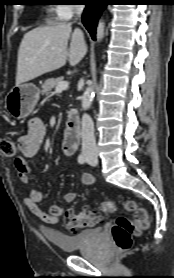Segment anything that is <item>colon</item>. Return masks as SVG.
<instances>
[{"label": "colon", "mask_w": 174, "mask_h": 278, "mask_svg": "<svg viewBox=\"0 0 174 278\" xmlns=\"http://www.w3.org/2000/svg\"><path fill=\"white\" fill-rule=\"evenodd\" d=\"M0 151L6 158L13 159L18 155V146L11 140H2L0 142ZM114 208L115 205L112 201H103L100 205V210L84 209L79 212L69 211L67 213V228L75 231L92 226L101 220V213L110 214L114 211ZM124 208L132 213V219L119 217L111 231L113 240L119 251L130 249L133 243V235L149 227L147 211L135 201H125Z\"/></svg>", "instance_id": "1"}]
</instances>
